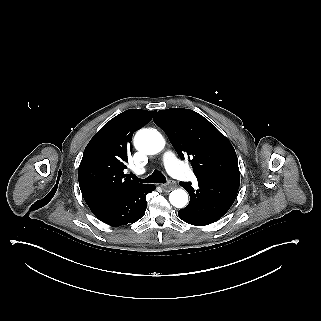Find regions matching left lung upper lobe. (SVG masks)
<instances>
[{
    "mask_svg": "<svg viewBox=\"0 0 321 321\" xmlns=\"http://www.w3.org/2000/svg\"><path fill=\"white\" fill-rule=\"evenodd\" d=\"M154 122L167 134L179 157H188L197 178L239 174L236 152L206 118L189 109L160 110Z\"/></svg>",
    "mask_w": 321,
    "mask_h": 321,
    "instance_id": "5c2ea615",
    "label": "left lung upper lobe"
}]
</instances>
